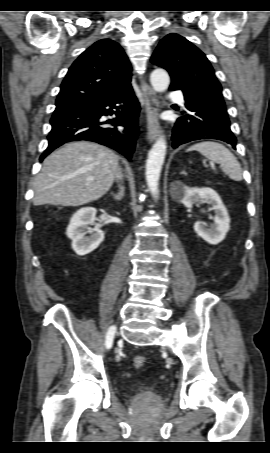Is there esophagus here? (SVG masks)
Masks as SVG:
<instances>
[{"instance_id": "1", "label": "esophagus", "mask_w": 270, "mask_h": 453, "mask_svg": "<svg viewBox=\"0 0 270 453\" xmlns=\"http://www.w3.org/2000/svg\"><path fill=\"white\" fill-rule=\"evenodd\" d=\"M141 90L145 102L147 138L150 142H153L160 133V124L157 118L159 113V102L155 91L145 80L141 81Z\"/></svg>"}]
</instances>
